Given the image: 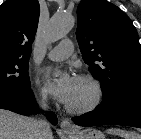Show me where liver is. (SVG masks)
<instances>
[{
  "instance_id": "6515ba94",
  "label": "liver",
  "mask_w": 141,
  "mask_h": 139,
  "mask_svg": "<svg viewBox=\"0 0 141 139\" xmlns=\"http://www.w3.org/2000/svg\"><path fill=\"white\" fill-rule=\"evenodd\" d=\"M36 119L0 109V139H33ZM53 139V134L49 136Z\"/></svg>"
}]
</instances>
